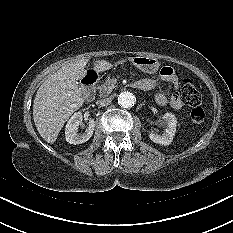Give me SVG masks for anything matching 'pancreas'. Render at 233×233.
Listing matches in <instances>:
<instances>
[{
	"instance_id": "1",
	"label": "pancreas",
	"mask_w": 233,
	"mask_h": 233,
	"mask_svg": "<svg viewBox=\"0 0 233 233\" xmlns=\"http://www.w3.org/2000/svg\"><path fill=\"white\" fill-rule=\"evenodd\" d=\"M114 88H115V85L111 83L110 79H107L105 82H103L98 87L100 97H105L109 95L113 91Z\"/></svg>"
}]
</instances>
